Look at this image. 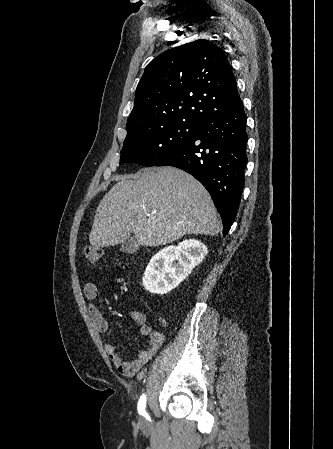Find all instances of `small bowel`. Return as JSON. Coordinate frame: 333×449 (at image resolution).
Wrapping results in <instances>:
<instances>
[{"label": "small bowel", "instance_id": "c3829d8e", "mask_svg": "<svg viewBox=\"0 0 333 449\" xmlns=\"http://www.w3.org/2000/svg\"><path fill=\"white\" fill-rule=\"evenodd\" d=\"M84 295L90 301L89 316L99 332L105 333L108 331L109 324L104 318L101 311L95 305L98 297V288L94 282H87L83 287ZM131 320L139 326V334L141 337L147 339L146 346L141 349L136 357L132 360L123 359L118 353V345L106 343L104 349L118 371L123 375H134L156 354L162 346L164 338L160 332H155L147 324L146 317L143 313L132 311L130 313Z\"/></svg>", "mask_w": 333, "mask_h": 449}]
</instances>
